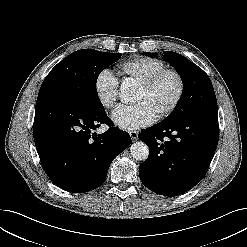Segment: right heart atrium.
<instances>
[{
    "mask_svg": "<svg viewBox=\"0 0 247 247\" xmlns=\"http://www.w3.org/2000/svg\"><path fill=\"white\" fill-rule=\"evenodd\" d=\"M93 89L98 102L105 108H113L119 97L118 80L114 74L104 68L96 75Z\"/></svg>",
    "mask_w": 247,
    "mask_h": 247,
    "instance_id": "obj_1",
    "label": "right heart atrium"
}]
</instances>
